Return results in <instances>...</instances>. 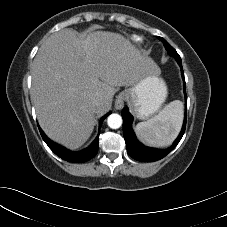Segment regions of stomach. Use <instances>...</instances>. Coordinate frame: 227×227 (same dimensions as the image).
<instances>
[{"instance_id":"1","label":"stomach","mask_w":227,"mask_h":227,"mask_svg":"<svg viewBox=\"0 0 227 227\" xmlns=\"http://www.w3.org/2000/svg\"><path fill=\"white\" fill-rule=\"evenodd\" d=\"M134 115L141 120L155 114L165 101L167 87L159 72L152 71L125 90Z\"/></svg>"}]
</instances>
